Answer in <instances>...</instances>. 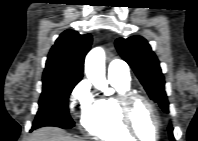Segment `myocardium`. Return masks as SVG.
I'll list each match as a JSON object with an SVG mask.
<instances>
[{"label": "myocardium", "mask_w": 198, "mask_h": 141, "mask_svg": "<svg viewBox=\"0 0 198 141\" xmlns=\"http://www.w3.org/2000/svg\"><path fill=\"white\" fill-rule=\"evenodd\" d=\"M143 102L146 104V106L149 108L153 118L154 122L157 128V133L154 141L158 140L161 136V120L158 114V111L153 104V102L146 96L133 92L128 91L125 93L120 94L117 97V105L119 109V116L121 119V122L125 129L130 133V135L133 136L134 139L143 140L137 130L135 129V126L133 124V111L135 106L139 103Z\"/></svg>", "instance_id": "f54148a6"}]
</instances>
